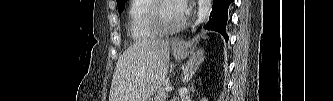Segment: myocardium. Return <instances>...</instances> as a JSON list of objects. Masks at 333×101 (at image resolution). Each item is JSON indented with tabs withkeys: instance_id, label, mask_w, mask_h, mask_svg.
I'll return each instance as SVG.
<instances>
[{
	"instance_id": "obj_1",
	"label": "myocardium",
	"mask_w": 333,
	"mask_h": 101,
	"mask_svg": "<svg viewBox=\"0 0 333 101\" xmlns=\"http://www.w3.org/2000/svg\"><path fill=\"white\" fill-rule=\"evenodd\" d=\"M166 2L170 1H163V0H155L153 1L152 5L149 8L148 14H147V20L149 26L158 34V35H169L173 33L179 32L181 29H183L186 25L187 18L185 15H183L182 19L178 24L171 28H165L163 27L159 11L162 5Z\"/></svg>"
}]
</instances>
